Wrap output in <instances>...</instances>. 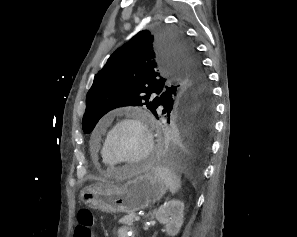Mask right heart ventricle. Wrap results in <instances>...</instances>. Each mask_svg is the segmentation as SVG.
<instances>
[{
  "label": "right heart ventricle",
  "instance_id": "obj_1",
  "mask_svg": "<svg viewBox=\"0 0 297 237\" xmlns=\"http://www.w3.org/2000/svg\"><path fill=\"white\" fill-rule=\"evenodd\" d=\"M100 155H101V159H102V162L109 168H113L116 166V163L114 161H112L110 159V157L108 156V154L106 153V151L104 150V143L101 147V150H100Z\"/></svg>",
  "mask_w": 297,
  "mask_h": 237
}]
</instances>
